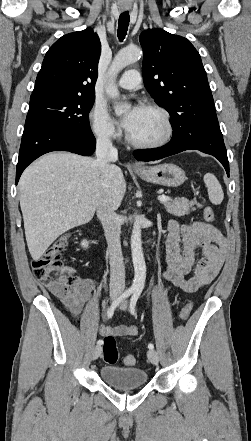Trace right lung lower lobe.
<instances>
[{
    "instance_id": "98d812e1",
    "label": "right lung lower lobe",
    "mask_w": 251,
    "mask_h": 441,
    "mask_svg": "<svg viewBox=\"0 0 251 441\" xmlns=\"http://www.w3.org/2000/svg\"><path fill=\"white\" fill-rule=\"evenodd\" d=\"M95 147L96 140L92 132L77 134L41 119L26 118L16 169V184L24 169L45 153L69 151L90 156Z\"/></svg>"
}]
</instances>
